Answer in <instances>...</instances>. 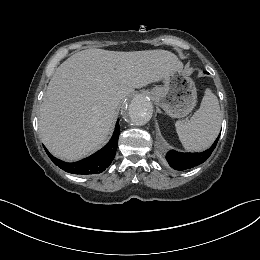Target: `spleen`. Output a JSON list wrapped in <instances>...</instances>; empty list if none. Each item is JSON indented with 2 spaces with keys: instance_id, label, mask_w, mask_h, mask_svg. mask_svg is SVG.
<instances>
[{
  "instance_id": "obj_1",
  "label": "spleen",
  "mask_w": 260,
  "mask_h": 260,
  "mask_svg": "<svg viewBox=\"0 0 260 260\" xmlns=\"http://www.w3.org/2000/svg\"><path fill=\"white\" fill-rule=\"evenodd\" d=\"M222 116L217 96L207 89L200 108L190 120H179L175 123L183 147L189 151L208 148L219 134Z\"/></svg>"
}]
</instances>
